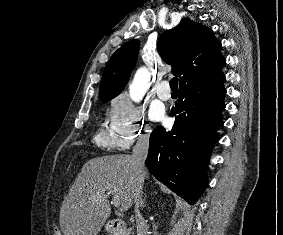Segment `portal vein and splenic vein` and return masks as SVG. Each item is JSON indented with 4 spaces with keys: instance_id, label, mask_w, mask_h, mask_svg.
Listing matches in <instances>:
<instances>
[{
    "instance_id": "portal-vein-and-splenic-vein-1",
    "label": "portal vein and splenic vein",
    "mask_w": 283,
    "mask_h": 235,
    "mask_svg": "<svg viewBox=\"0 0 283 235\" xmlns=\"http://www.w3.org/2000/svg\"><path fill=\"white\" fill-rule=\"evenodd\" d=\"M108 190V194H112L113 195V204L115 207L120 208L121 206V200L117 194V188L114 186H109L107 188Z\"/></svg>"
}]
</instances>
